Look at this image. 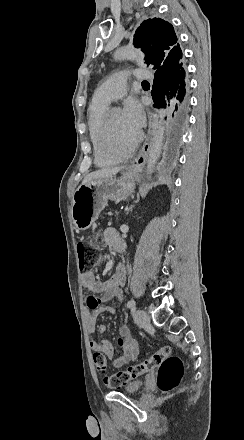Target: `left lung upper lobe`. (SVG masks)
I'll list each match as a JSON object with an SVG mask.
<instances>
[{
	"label": "left lung upper lobe",
	"mask_w": 244,
	"mask_h": 440,
	"mask_svg": "<svg viewBox=\"0 0 244 440\" xmlns=\"http://www.w3.org/2000/svg\"><path fill=\"white\" fill-rule=\"evenodd\" d=\"M133 44L146 54L145 62L154 69L182 57L173 26L161 18L144 20L136 30Z\"/></svg>",
	"instance_id": "obj_1"
}]
</instances>
